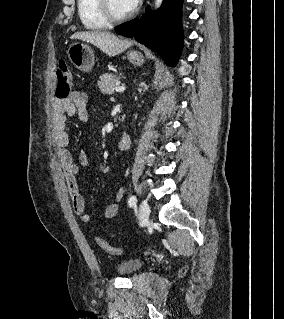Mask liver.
Masks as SVG:
<instances>
[{
	"mask_svg": "<svg viewBox=\"0 0 284 319\" xmlns=\"http://www.w3.org/2000/svg\"><path fill=\"white\" fill-rule=\"evenodd\" d=\"M71 39H79L91 43L109 57L119 55L133 44V41L119 39L108 31L76 32L71 36Z\"/></svg>",
	"mask_w": 284,
	"mask_h": 319,
	"instance_id": "liver-1",
	"label": "liver"
}]
</instances>
